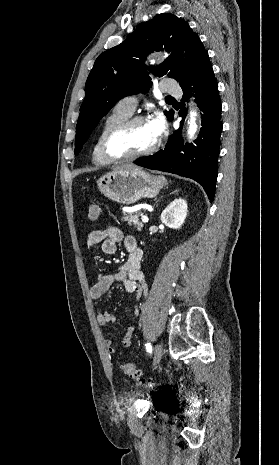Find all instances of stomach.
<instances>
[{"label": "stomach", "mask_w": 279, "mask_h": 465, "mask_svg": "<svg viewBox=\"0 0 279 465\" xmlns=\"http://www.w3.org/2000/svg\"><path fill=\"white\" fill-rule=\"evenodd\" d=\"M167 184L162 176H154L140 168H121L100 177L101 193L121 204H134L142 198H154Z\"/></svg>", "instance_id": "0dacf381"}]
</instances>
